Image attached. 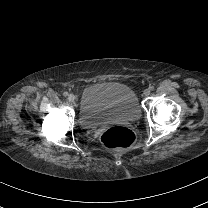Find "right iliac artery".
<instances>
[{
  "label": "right iliac artery",
  "mask_w": 208,
  "mask_h": 208,
  "mask_svg": "<svg viewBox=\"0 0 208 208\" xmlns=\"http://www.w3.org/2000/svg\"><path fill=\"white\" fill-rule=\"evenodd\" d=\"M63 96H64V97H67V96H68V92H64V93H63Z\"/></svg>",
  "instance_id": "right-iliac-artery-1"
}]
</instances>
